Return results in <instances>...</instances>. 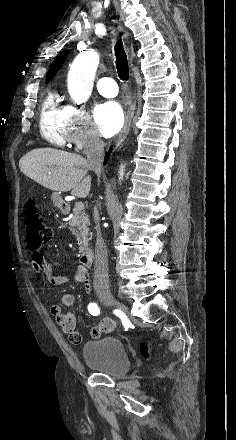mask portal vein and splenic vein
Returning <instances> with one entry per match:
<instances>
[{"label": "portal vein and splenic vein", "mask_w": 236, "mask_h": 440, "mask_svg": "<svg viewBox=\"0 0 236 440\" xmlns=\"http://www.w3.org/2000/svg\"><path fill=\"white\" fill-rule=\"evenodd\" d=\"M75 209L82 211L84 209V204L82 202H76L75 203Z\"/></svg>", "instance_id": "1"}]
</instances>
